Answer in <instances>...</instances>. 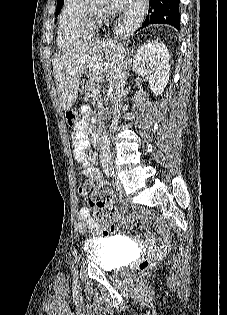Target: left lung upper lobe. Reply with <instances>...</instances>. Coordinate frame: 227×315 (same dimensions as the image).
I'll use <instances>...</instances> for the list:
<instances>
[{
	"label": "left lung upper lobe",
	"mask_w": 227,
	"mask_h": 315,
	"mask_svg": "<svg viewBox=\"0 0 227 315\" xmlns=\"http://www.w3.org/2000/svg\"><path fill=\"white\" fill-rule=\"evenodd\" d=\"M63 5V0H57V8L55 15H58Z\"/></svg>",
	"instance_id": "5c2ea615"
}]
</instances>
